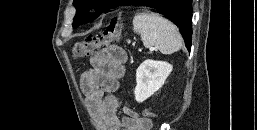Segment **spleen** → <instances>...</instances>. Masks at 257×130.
<instances>
[{
    "mask_svg": "<svg viewBox=\"0 0 257 130\" xmlns=\"http://www.w3.org/2000/svg\"><path fill=\"white\" fill-rule=\"evenodd\" d=\"M133 26L146 48L155 47L165 55L182 48V37L177 27L157 13H137L133 18Z\"/></svg>",
    "mask_w": 257,
    "mask_h": 130,
    "instance_id": "spleen-1",
    "label": "spleen"
}]
</instances>
